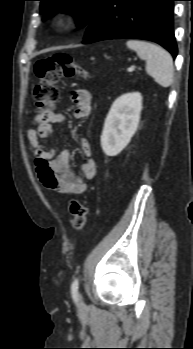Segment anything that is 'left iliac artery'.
<instances>
[{
    "label": "left iliac artery",
    "instance_id": "obj_1",
    "mask_svg": "<svg viewBox=\"0 0 193 349\" xmlns=\"http://www.w3.org/2000/svg\"><path fill=\"white\" fill-rule=\"evenodd\" d=\"M79 279L76 278L71 285V294L75 302L78 300Z\"/></svg>",
    "mask_w": 193,
    "mask_h": 349
}]
</instances>
